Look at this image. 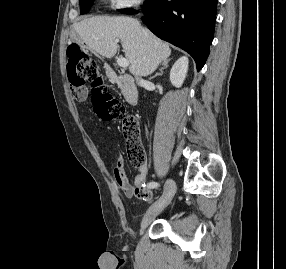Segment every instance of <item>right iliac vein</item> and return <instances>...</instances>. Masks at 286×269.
<instances>
[{
    "label": "right iliac vein",
    "instance_id": "63e3f726",
    "mask_svg": "<svg viewBox=\"0 0 286 269\" xmlns=\"http://www.w3.org/2000/svg\"><path fill=\"white\" fill-rule=\"evenodd\" d=\"M176 192V184L172 179L166 182V187L163 195L152 204L144 214L141 222V229H145L150 222L170 203Z\"/></svg>",
    "mask_w": 286,
    "mask_h": 269
}]
</instances>
